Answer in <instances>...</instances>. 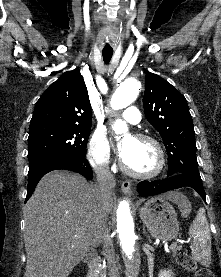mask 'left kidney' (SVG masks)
Wrapping results in <instances>:
<instances>
[{"label":"left kidney","mask_w":221,"mask_h":277,"mask_svg":"<svg viewBox=\"0 0 221 277\" xmlns=\"http://www.w3.org/2000/svg\"><path fill=\"white\" fill-rule=\"evenodd\" d=\"M158 277H173V272L171 270H161Z\"/></svg>","instance_id":"1"}]
</instances>
